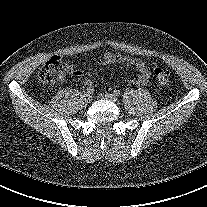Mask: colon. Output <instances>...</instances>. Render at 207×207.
<instances>
[{"instance_id":"1","label":"colon","mask_w":207,"mask_h":207,"mask_svg":"<svg viewBox=\"0 0 207 207\" xmlns=\"http://www.w3.org/2000/svg\"><path fill=\"white\" fill-rule=\"evenodd\" d=\"M65 68L59 57H52L40 69L39 78L44 84L52 85L64 74ZM154 75L161 84L169 83L171 78L170 72L162 67L155 68Z\"/></svg>"}]
</instances>
